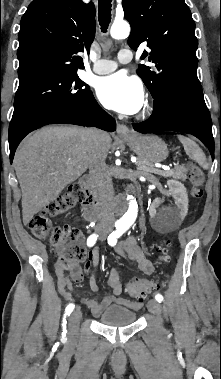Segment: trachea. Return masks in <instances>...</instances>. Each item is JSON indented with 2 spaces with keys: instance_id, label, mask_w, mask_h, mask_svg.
Returning a JSON list of instances; mask_svg holds the SVG:
<instances>
[{
  "instance_id": "3493384b",
  "label": "trachea",
  "mask_w": 221,
  "mask_h": 379,
  "mask_svg": "<svg viewBox=\"0 0 221 379\" xmlns=\"http://www.w3.org/2000/svg\"><path fill=\"white\" fill-rule=\"evenodd\" d=\"M111 2L112 0H98V20L104 33L107 32L111 21Z\"/></svg>"
}]
</instances>
